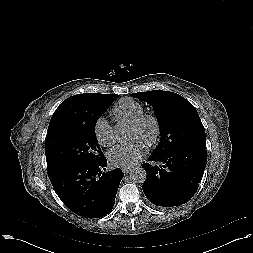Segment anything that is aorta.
Masks as SVG:
<instances>
[{
    "mask_svg": "<svg viewBox=\"0 0 253 253\" xmlns=\"http://www.w3.org/2000/svg\"><path fill=\"white\" fill-rule=\"evenodd\" d=\"M115 135L120 139H127L129 137L128 128L125 125H117L115 127ZM146 171L143 168L137 167L130 173V179L134 183H144L146 180Z\"/></svg>",
    "mask_w": 253,
    "mask_h": 253,
    "instance_id": "aorta-1",
    "label": "aorta"
}]
</instances>
